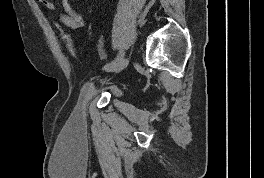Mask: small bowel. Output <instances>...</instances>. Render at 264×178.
I'll return each mask as SVG.
<instances>
[{"instance_id":"small-bowel-1","label":"small bowel","mask_w":264,"mask_h":178,"mask_svg":"<svg viewBox=\"0 0 264 178\" xmlns=\"http://www.w3.org/2000/svg\"><path fill=\"white\" fill-rule=\"evenodd\" d=\"M40 5L46 7L50 11H55L56 6L52 2V0H35ZM62 6L64 12L59 14V21L66 27L79 30L81 29L84 24L85 20L84 17L75 9V6L72 0H62ZM99 55L101 58H106V54L103 49H99Z\"/></svg>"}]
</instances>
